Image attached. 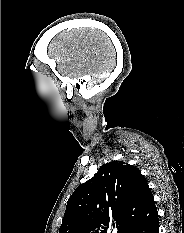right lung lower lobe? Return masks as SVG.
<instances>
[{
  "mask_svg": "<svg viewBox=\"0 0 184 233\" xmlns=\"http://www.w3.org/2000/svg\"><path fill=\"white\" fill-rule=\"evenodd\" d=\"M122 233H159V219L155 204Z\"/></svg>",
  "mask_w": 184,
  "mask_h": 233,
  "instance_id": "98d812e1",
  "label": "right lung lower lobe"
}]
</instances>
